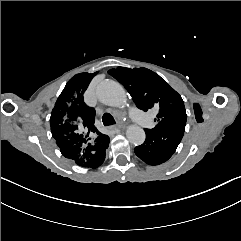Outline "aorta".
<instances>
[{"mask_svg": "<svg viewBox=\"0 0 241 241\" xmlns=\"http://www.w3.org/2000/svg\"><path fill=\"white\" fill-rule=\"evenodd\" d=\"M96 94L98 99L108 106L119 107L127 101L125 89L113 80L100 82L96 87ZM126 136L129 142L134 145L143 144L146 138L144 130L137 125H130L127 128Z\"/></svg>", "mask_w": 241, "mask_h": 241, "instance_id": "obj_1", "label": "aorta"}]
</instances>
